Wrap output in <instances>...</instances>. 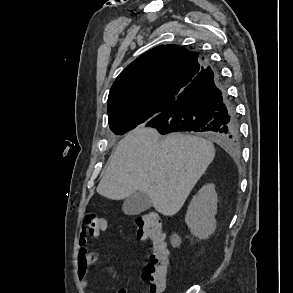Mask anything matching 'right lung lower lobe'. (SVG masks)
I'll return each instance as SVG.
<instances>
[{"instance_id":"1","label":"right lung lower lobe","mask_w":293,"mask_h":293,"mask_svg":"<svg viewBox=\"0 0 293 293\" xmlns=\"http://www.w3.org/2000/svg\"><path fill=\"white\" fill-rule=\"evenodd\" d=\"M145 125L156 128L162 134L205 132L229 146L239 139L234 106L220 86L218 72L210 66H206L189 83L167 110Z\"/></svg>"}]
</instances>
